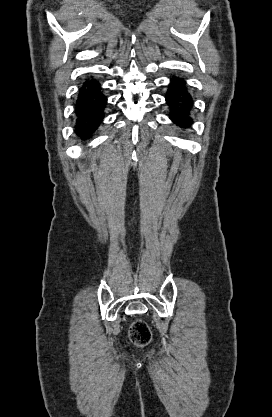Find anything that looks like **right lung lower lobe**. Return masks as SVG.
<instances>
[{
	"instance_id": "1",
	"label": "right lung lower lobe",
	"mask_w": 272,
	"mask_h": 417,
	"mask_svg": "<svg viewBox=\"0 0 272 417\" xmlns=\"http://www.w3.org/2000/svg\"><path fill=\"white\" fill-rule=\"evenodd\" d=\"M107 98L103 95L99 82H84L76 101V133L84 139L98 128L104 118Z\"/></svg>"
}]
</instances>
